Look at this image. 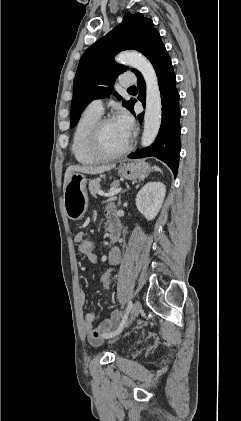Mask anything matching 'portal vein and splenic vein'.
Returning <instances> with one entry per match:
<instances>
[{
    "label": "portal vein and splenic vein",
    "instance_id": "obj_1",
    "mask_svg": "<svg viewBox=\"0 0 241 421\" xmlns=\"http://www.w3.org/2000/svg\"><path fill=\"white\" fill-rule=\"evenodd\" d=\"M122 190V188H117V189H114V190H111L110 192H108V193H105V192H103V191H99L98 192V194L100 195V196H107V197H109V199L108 200H112L113 198H114V196L118 193V192H120Z\"/></svg>",
    "mask_w": 241,
    "mask_h": 421
}]
</instances>
